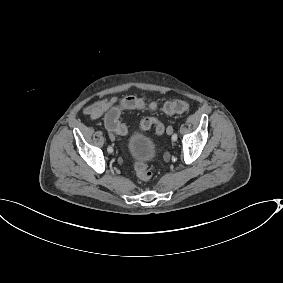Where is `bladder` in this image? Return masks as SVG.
Returning a JSON list of instances; mask_svg holds the SVG:
<instances>
[{
	"instance_id": "31cf9c89",
	"label": "bladder",
	"mask_w": 283,
	"mask_h": 283,
	"mask_svg": "<svg viewBox=\"0 0 283 283\" xmlns=\"http://www.w3.org/2000/svg\"><path fill=\"white\" fill-rule=\"evenodd\" d=\"M127 152L137 160L153 162L159 155V147L145 132H133L126 141Z\"/></svg>"
}]
</instances>
